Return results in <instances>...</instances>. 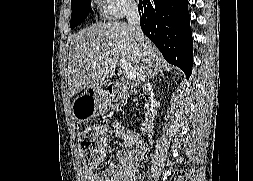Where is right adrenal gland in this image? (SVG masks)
<instances>
[{
	"mask_svg": "<svg viewBox=\"0 0 253 181\" xmlns=\"http://www.w3.org/2000/svg\"><path fill=\"white\" fill-rule=\"evenodd\" d=\"M158 74H159L160 76H162L163 78L165 77L164 71H163V70H160L159 73H154V74H153L152 79H154V77H155L156 75H158Z\"/></svg>",
	"mask_w": 253,
	"mask_h": 181,
	"instance_id": "right-adrenal-gland-1",
	"label": "right adrenal gland"
}]
</instances>
